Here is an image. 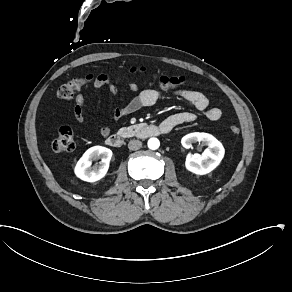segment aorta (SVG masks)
<instances>
[{"label":"aorta","mask_w":292,"mask_h":292,"mask_svg":"<svg viewBox=\"0 0 292 292\" xmlns=\"http://www.w3.org/2000/svg\"><path fill=\"white\" fill-rule=\"evenodd\" d=\"M160 142L157 138H150L148 140V147L152 150H155L159 147Z\"/></svg>","instance_id":"762f6f07"}]
</instances>
